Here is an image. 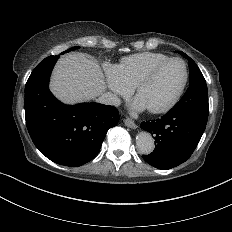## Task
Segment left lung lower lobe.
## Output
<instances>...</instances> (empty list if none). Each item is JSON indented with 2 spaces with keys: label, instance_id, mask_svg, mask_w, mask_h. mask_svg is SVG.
<instances>
[{
  "label": "left lung lower lobe",
  "instance_id": "1",
  "mask_svg": "<svg viewBox=\"0 0 232 232\" xmlns=\"http://www.w3.org/2000/svg\"><path fill=\"white\" fill-rule=\"evenodd\" d=\"M206 124L207 121L183 111H168L161 118L142 122L141 128L155 139L154 151L143 155V159L161 170L184 163L196 149Z\"/></svg>",
  "mask_w": 232,
  "mask_h": 232
}]
</instances>
